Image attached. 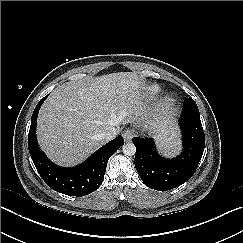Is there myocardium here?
I'll return each mask as SVG.
<instances>
[{
	"instance_id": "myocardium-1",
	"label": "myocardium",
	"mask_w": 243,
	"mask_h": 243,
	"mask_svg": "<svg viewBox=\"0 0 243 243\" xmlns=\"http://www.w3.org/2000/svg\"><path fill=\"white\" fill-rule=\"evenodd\" d=\"M175 102V98L173 95H167L164 99L163 106L164 108L171 107Z\"/></svg>"
}]
</instances>
